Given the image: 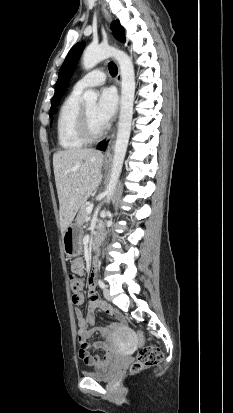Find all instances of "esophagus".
Masks as SVG:
<instances>
[{"instance_id":"esophagus-1","label":"esophagus","mask_w":233,"mask_h":413,"mask_svg":"<svg viewBox=\"0 0 233 413\" xmlns=\"http://www.w3.org/2000/svg\"><path fill=\"white\" fill-rule=\"evenodd\" d=\"M100 3H101L102 12H103L105 20H106L107 27L110 31V25H111V22H112L111 14H110L109 10L107 9L105 3H103L102 1ZM110 41H111V43L114 47H118L117 42H116V40L114 39V37L112 36L111 33H110ZM116 82H117L118 87L120 88V84H121L120 69H119L118 74L116 76ZM115 134H116V127L113 128L111 134L108 136V143H107L106 151H105V154H104V160L105 161H111V159H112V149H113V145H114Z\"/></svg>"}]
</instances>
